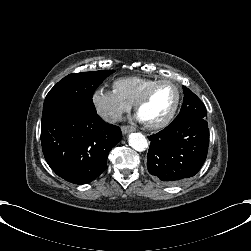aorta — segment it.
<instances>
[{
    "instance_id": "aorta-1",
    "label": "aorta",
    "mask_w": 251,
    "mask_h": 251,
    "mask_svg": "<svg viewBox=\"0 0 251 251\" xmlns=\"http://www.w3.org/2000/svg\"><path fill=\"white\" fill-rule=\"evenodd\" d=\"M129 145L136 151H144L148 147L145 136L141 133H131L128 138Z\"/></svg>"
}]
</instances>
